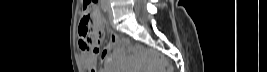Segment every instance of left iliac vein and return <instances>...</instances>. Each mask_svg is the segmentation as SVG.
I'll list each match as a JSON object with an SVG mask.
<instances>
[{
  "mask_svg": "<svg viewBox=\"0 0 267 72\" xmlns=\"http://www.w3.org/2000/svg\"><path fill=\"white\" fill-rule=\"evenodd\" d=\"M109 19H110V21H112V12L110 9H109Z\"/></svg>",
  "mask_w": 267,
  "mask_h": 72,
  "instance_id": "1",
  "label": "left iliac vein"
}]
</instances>
